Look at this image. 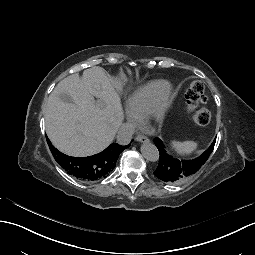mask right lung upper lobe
<instances>
[{"label":"right lung upper lobe","instance_id":"obj_1","mask_svg":"<svg viewBox=\"0 0 255 255\" xmlns=\"http://www.w3.org/2000/svg\"><path fill=\"white\" fill-rule=\"evenodd\" d=\"M49 143V148L55 158V160L58 162V164L65 169L69 174L75 176L76 178L86 181V182H92L96 180H100L107 175L115 168L117 158L120 155L121 152H123L124 149L129 147L122 146L117 143H113L110 146H108L104 151L93 155V160H97L100 164V169L97 172H94V177L91 180H86L83 177V161L84 157H71L68 155H65L61 153L59 150H57L51 142Z\"/></svg>","mask_w":255,"mask_h":255}]
</instances>
